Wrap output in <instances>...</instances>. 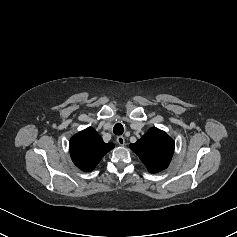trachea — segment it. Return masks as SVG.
Segmentation results:
<instances>
[{
    "label": "trachea",
    "mask_w": 237,
    "mask_h": 237,
    "mask_svg": "<svg viewBox=\"0 0 237 237\" xmlns=\"http://www.w3.org/2000/svg\"><path fill=\"white\" fill-rule=\"evenodd\" d=\"M113 132L116 135H122L124 132V128H123L122 124L117 123L113 128Z\"/></svg>",
    "instance_id": "obj_1"
}]
</instances>
